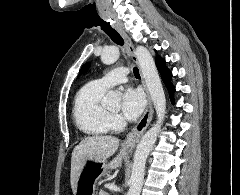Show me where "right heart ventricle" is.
Segmentation results:
<instances>
[{"instance_id": "obj_1", "label": "right heart ventricle", "mask_w": 240, "mask_h": 195, "mask_svg": "<svg viewBox=\"0 0 240 195\" xmlns=\"http://www.w3.org/2000/svg\"><path fill=\"white\" fill-rule=\"evenodd\" d=\"M107 90L103 83L92 81L82 88L75 99V123L88 136H102L111 130L112 117L104 104Z\"/></svg>"}]
</instances>
